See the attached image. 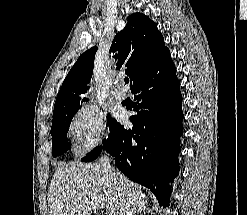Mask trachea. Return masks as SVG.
Segmentation results:
<instances>
[{"label":"trachea","instance_id":"trachea-1","mask_svg":"<svg viewBox=\"0 0 247 215\" xmlns=\"http://www.w3.org/2000/svg\"><path fill=\"white\" fill-rule=\"evenodd\" d=\"M124 81H125V84L129 83L128 77H125Z\"/></svg>","mask_w":247,"mask_h":215}]
</instances>
